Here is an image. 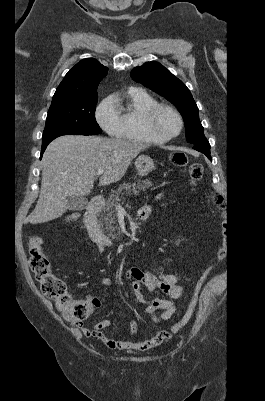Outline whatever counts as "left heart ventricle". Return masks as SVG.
Returning <instances> with one entry per match:
<instances>
[{"instance_id":"b2bd125f","label":"left heart ventricle","mask_w":265,"mask_h":401,"mask_svg":"<svg viewBox=\"0 0 265 401\" xmlns=\"http://www.w3.org/2000/svg\"><path fill=\"white\" fill-rule=\"evenodd\" d=\"M179 128L178 119L166 111H159L152 120L153 134L160 140L176 135Z\"/></svg>"}]
</instances>
